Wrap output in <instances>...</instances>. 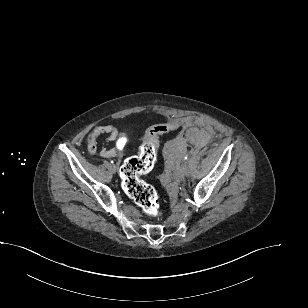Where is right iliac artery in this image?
<instances>
[{
    "label": "right iliac artery",
    "mask_w": 308,
    "mask_h": 308,
    "mask_svg": "<svg viewBox=\"0 0 308 308\" xmlns=\"http://www.w3.org/2000/svg\"><path fill=\"white\" fill-rule=\"evenodd\" d=\"M111 163L113 164V163H114V161L112 160V161H111Z\"/></svg>",
    "instance_id": "obj_1"
}]
</instances>
